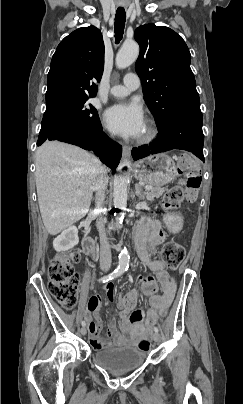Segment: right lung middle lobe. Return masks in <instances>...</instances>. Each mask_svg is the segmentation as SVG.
<instances>
[{"label":"right lung middle lobe","mask_w":243,"mask_h":404,"mask_svg":"<svg viewBox=\"0 0 243 404\" xmlns=\"http://www.w3.org/2000/svg\"><path fill=\"white\" fill-rule=\"evenodd\" d=\"M92 97L61 99L46 104L37 145H41L55 130L66 124L101 126L97 110L88 100Z\"/></svg>","instance_id":"1"}]
</instances>
